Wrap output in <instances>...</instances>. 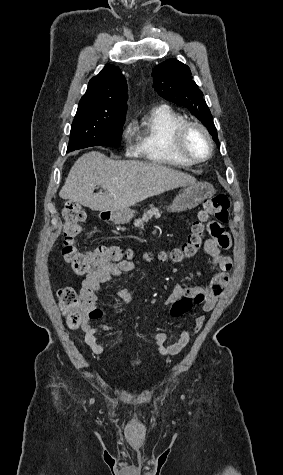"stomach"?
I'll list each match as a JSON object with an SVG mask.
<instances>
[{
    "mask_svg": "<svg viewBox=\"0 0 283 475\" xmlns=\"http://www.w3.org/2000/svg\"><path fill=\"white\" fill-rule=\"evenodd\" d=\"M215 190L208 182H197L192 186H187L179 196H176L171 206H168L169 212H184V210H192L199 204H202L204 200L212 198ZM135 216V210H117V212H111V222L114 224H128Z\"/></svg>",
    "mask_w": 283,
    "mask_h": 475,
    "instance_id": "1",
    "label": "stomach"
}]
</instances>
